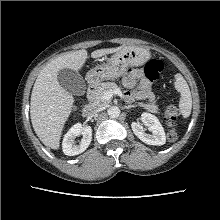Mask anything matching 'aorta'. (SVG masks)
Returning <instances> with one entry per match:
<instances>
[{
  "label": "aorta",
  "mask_w": 220,
  "mask_h": 220,
  "mask_svg": "<svg viewBox=\"0 0 220 220\" xmlns=\"http://www.w3.org/2000/svg\"><path fill=\"white\" fill-rule=\"evenodd\" d=\"M120 109L117 106L110 107L108 109V115L110 118H118L120 115Z\"/></svg>",
  "instance_id": "aorta-1"
}]
</instances>
